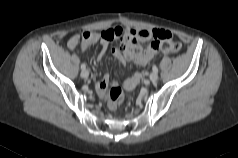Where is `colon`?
I'll return each mask as SVG.
<instances>
[{
  "mask_svg": "<svg viewBox=\"0 0 238 158\" xmlns=\"http://www.w3.org/2000/svg\"><path fill=\"white\" fill-rule=\"evenodd\" d=\"M108 38H112L111 34H105ZM162 51L166 53L176 54L181 50V44L177 41L167 38L161 43ZM105 98L112 109L118 108L124 101V90L117 83H113L110 88L105 92Z\"/></svg>",
  "mask_w": 238,
  "mask_h": 158,
  "instance_id": "colon-1",
  "label": "colon"
}]
</instances>
